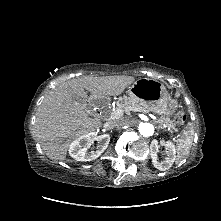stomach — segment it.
Masks as SVG:
<instances>
[{"instance_id": "obj_1", "label": "stomach", "mask_w": 221, "mask_h": 221, "mask_svg": "<svg viewBox=\"0 0 221 221\" xmlns=\"http://www.w3.org/2000/svg\"><path fill=\"white\" fill-rule=\"evenodd\" d=\"M130 98L139 106L160 115H172L175 110L169 106V94L165 86L154 79L140 78L128 87Z\"/></svg>"}]
</instances>
